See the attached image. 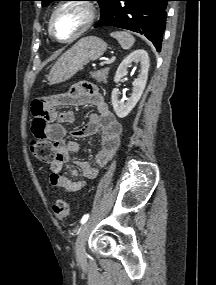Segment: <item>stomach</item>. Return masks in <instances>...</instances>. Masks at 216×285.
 Returning a JSON list of instances; mask_svg holds the SVG:
<instances>
[{
  "label": "stomach",
  "instance_id": "0dacf381",
  "mask_svg": "<svg viewBox=\"0 0 216 285\" xmlns=\"http://www.w3.org/2000/svg\"><path fill=\"white\" fill-rule=\"evenodd\" d=\"M107 43L96 36L81 38L57 60L49 75V84H59L71 79L90 61L100 58Z\"/></svg>",
  "mask_w": 216,
  "mask_h": 285
}]
</instances>
